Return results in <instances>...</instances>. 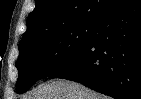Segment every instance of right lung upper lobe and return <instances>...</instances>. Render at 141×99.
<instances>
[{
	"label": "right lung upper lobe",
	"instance_id": "1",
	"mask_svg": "<svg viewBox=\"0 0 141 99\" xmlns=\"http://www.w3.org/2000/svg\"><path fill=\"white\" fill-rule=\"evenodd\" d=\"M124 0H35L20 43L81 21H98Z\"/></svg>",
	"mask_w": 141,
	"mask_h": 99
}]
</instances>
